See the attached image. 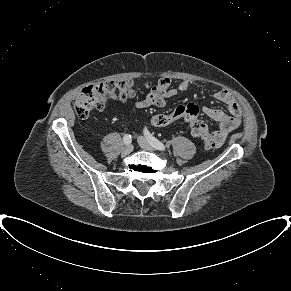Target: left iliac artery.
Returning a JSON list of instances; mask_svg holds the SVG:
<instances>
[{"label": "left iliac artery", "instance_id": "44dca946", "mask_svg": "<svg viewBox=\"0 0 291 291\" xmlns=\"http://www.w3.org/2000/svg\"><path fill=\"white\" fill-rule=\"evenodd\" d=\"M143 132L147 140L150 142V144L154 148L161 151H164L166 149L165 145L162 142H160L158 139H156L154 136H152L150 132L147 130V128H144Z\"/></svg>", "mask_w": 291, "mask_h": 291}]
</instances>
